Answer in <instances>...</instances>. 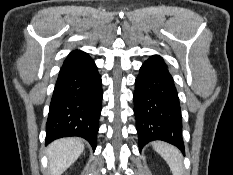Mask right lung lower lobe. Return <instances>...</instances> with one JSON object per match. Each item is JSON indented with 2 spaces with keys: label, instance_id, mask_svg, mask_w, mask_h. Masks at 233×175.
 <instances>
[{
  "label": "right lung lower lobe",
  "instance_id": "1",
  "mask_svg": "<svg viewBox=\"0 0 233 175\" xmlns=\"http://www.w3.org/2000/svg\"><path fill=\"white\" fill-rule=\"evenodd\" d=\"M102 102V82L91 57L79 53L67 58L55 84L46 123V144L79 136L96 148Z\"/></svg>",
  "mask_w": 233,
  "mask_h": 175
}]
</instances>
